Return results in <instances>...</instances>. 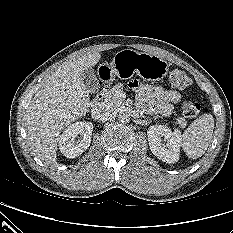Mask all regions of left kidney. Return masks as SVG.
<instances>
[{
    "label": "left kidney",
    "mask_w": 233,
    "mask_h": 233,
    "mask_svg": "<svg viewBox=\"0 0 233 233\" xmlns=\"http://www.w3.org/2000/svg\"><path fill=\"white\" fill-rule=\"evenodd\" d=\"M151 152L166 163H175L179 160L181 146V132L172 131L166 125H153L147 131Z\"/></svg>",
    "instance_id": "5707ae66"
}]
</instances>
